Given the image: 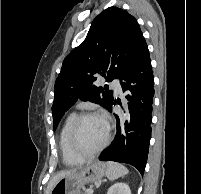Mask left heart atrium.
Wrapping results in <instances>:
<instances>
[{
  "label": "left heart atrium",
  "mask_w": 201,
  "mask_h": 194,
  "mask_svg": "<svg viewBox=\"0 0 201 194\" xmlns=\"http://www.w3.org/2000/svg\"><path fill=\"white\" fill-rule=\"evenodd\" d=\"M102 120H103V122L105 123V125H106V122H105V120L103 119V118H101Z\"/></svg>",
  "instance_id": "left-heart-atrium-1"
}]
</instances>
